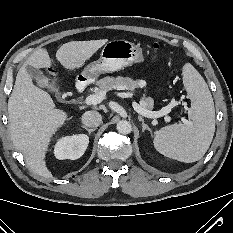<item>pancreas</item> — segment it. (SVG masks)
I'll return each mask as SVG.
<instances>
[{"label": "pancreas", "mask_w": 233, "mask_h": 233, "mask_svg": "<svg viewBox=\"0 0 233 233\" xmlns=\"http://www.w3.org/2000/svg\"><path fill=\"white\" fill-rule=\"evenodd\" d=\"M141 80H133L128 77H104L96 82V85L102 91H109L112 88L124 89V90H134L142 85ZM154 105V100L152 98H143L142 106L148 109H151Z\"/></svg>", "instance_id": "pancreas-1"}]
</instances>
